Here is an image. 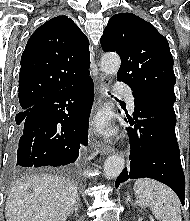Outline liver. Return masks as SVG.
<instances>
[{"mask_svg":"<svg viewBox=\"0 0 190 221\" xmlns=\"http://www.w3.org/2000/svg\"><path fill=\"white\" fill-rule=\"evenodd\" d=\"M78 189L57 175H32L11 189L5 205L6 221H66Z\"/></svg>","mask_w":190,"mask_h":221,"instance_id":"obj_1","label":"liver"}]
</instances>
